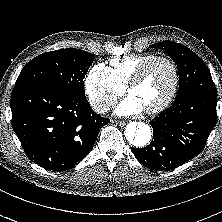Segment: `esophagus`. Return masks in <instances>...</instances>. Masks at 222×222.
<instances>
[{
  "instance_id": "34e87169",
  "label": "esophagus",
  "mask_w": 222,
  "mask_h": 222,
  "mask_svg": "<svg viewBox=\"0 0 222 222\" xmlns=\"http://www.w3.org/2000/svg\"><path fill=\"white\" fill-rule=\"evenodd\" d=\"M116 123H117V125H119L121 127L126 124L125 121H116Z\"/></svg>"
}]
</instances>
